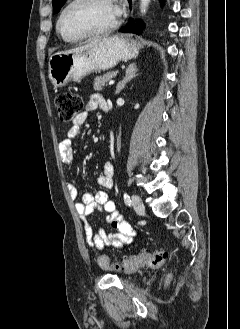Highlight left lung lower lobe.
Instances as JSON below:
<instances>
[{"mask_svg":"<svg viewBox=\"0 0 240 329\" xmlns=\"http://www.w3.org/2000/svg\"><path fill=\"white\" fill-rule=\"evenodd\" d=\"M129 2H131V0H129ZM143 27H144V24L141 21L137 22L135 24L134 20L130 19L129 23L123 29H121L120 31L121 32H129L130 30H132L133 33H136V34L139 35L141 33V30L143 29Z\"/></svg>","mask_w":240,"mask_h":329,"instance_id":"0a47b994","label":"left lung lower lobe"}]
</instances>
